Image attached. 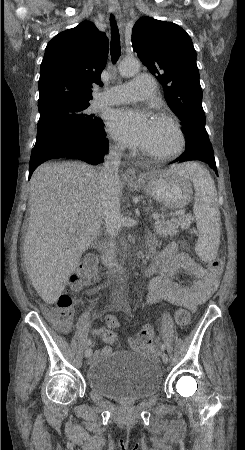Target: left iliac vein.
Segmentation results:
<instances>
[{
	"mask_svg": "<svg viewBox=\"0 0 245 450\" xmlns=\"http://www.w3.org/2000/svg\"><path fill=\"white\" fill-rule=\"evenodd\" d=\"M162 361L164 362V363H168V361H169V357H168V355L165 353V352H163L162 353Z\"/></svg>",
	"mask_w": 245,
	"mask_h": 450,
	"instance_id": "4c4485c4",
	"label": "left iliac vein"
}]
</instances>
